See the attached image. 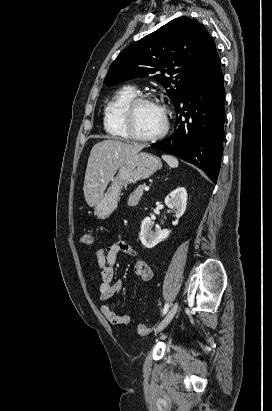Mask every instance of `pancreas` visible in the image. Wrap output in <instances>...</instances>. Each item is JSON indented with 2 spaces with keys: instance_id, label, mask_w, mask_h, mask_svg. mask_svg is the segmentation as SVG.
<instances>
[{
  "instance_id": "cf45deb5",
  "label": "pancreas",
  "mask_w": 272,
  "mask_h": 411,
  "mask_svg": "<svg viewBox=\"0 0 272 411\" xmlns=\"http://www.w3.org/2000/svg\"><path fill=\"white\" fill-rule=\"evenodd\" d=\"M145 185H139L136 190H134L128 199V206L134 207L137 206L139 201L141 200L143 196V191H144Z\"/></svg>"
}]
</instances>
